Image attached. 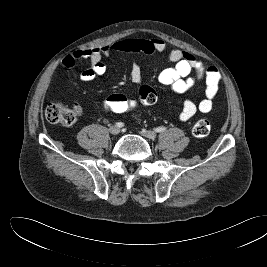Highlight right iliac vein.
Listing matches in <instances>:
<instances>
[{
  "label": "right iliac vein",
  "mask_w": 267,
  "mask_h": 267,
  "mask_svg": "<svg viewBox=\"0 0 267 267\" xmlns=\"http://www.w3.org/2000/svg\"><path fill=\"white\" fill-rule=\"evenodd\" d=\"M109 132L113 135H117V134H119L120 129L117 126H112L109 128Z\"/></svg>",
  "instance_id": "right-iliac-vein-1"
}]
</instances>
